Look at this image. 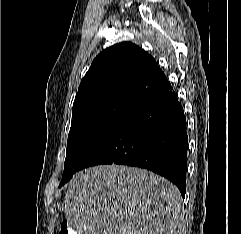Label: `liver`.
<instances>
[{
  "label": "liver",
  "mask_w": 241,
  "mask_h": 234,
  "mask_svg": "<svg viewBox=\"0 0 241 234\" xmlns=\"http://www.w3.org/2000/svg\"><path fill=\"white\" fill-rule=\"evenodd\" d=\"M61 210L75 234H177L184 226L174 184L145 169L114 164L76 173Z\"/></svg>",
  "instance_id": "obj_1"
}]
</instances>
